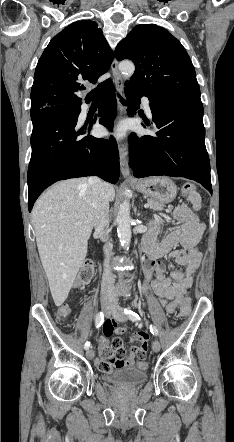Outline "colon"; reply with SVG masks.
<instances>
[{
    "label": "colon",
    "instance_id": "colon-1",
    "mask_svg": "<svg viewBox=\"0 0 234 442\" xmlns=\"http://www.w3.org/2000/svg\"><path fill=\"white\" fill-rule=\"evenodd\" d=\"M182 193L188 198H196L198 196L197 188L193 183H186L182 188ZM94 272V264L92 261H87L81 267L77 280L76 286L79 288L84 287L92 278ZM191 300L189 297H186L183 305L181 306L180 316L185 317L190 312ZM71 315V309L68 305H62L58 308L56 312V317L58 320H67ZM139 348V346L137 347ZM147 350V349H146ZM104 359L97 360L96 364L98 368L105 373L112 371L114 368H120L125 366V350L123 346L121 349L116 350L112 346L111 349H107L102 352ZM145 359L140 360L137 364L138 370H143L146 367Z\"/></svg>",
    "mask_w": 234,
    "mask_h": 442
}]
</instances>
